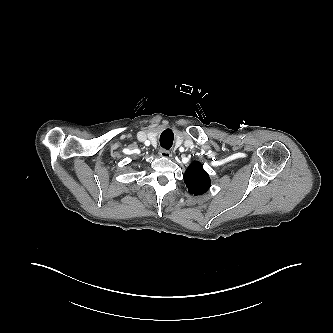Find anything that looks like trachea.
<instances>
[{"mask_svg":"<svg viewBox=\"0 0 333 333\" xmlns=\"http://www.w3.org/2000/svg\"><path fill=\"white\" fill-rule=\"evenodd\" d=\"M174 135L171 131L165 130L161 135V146L169 150L173 144Z\"/></svg>","mask_w":333,"mask_h":333,"instance_id":"obj_1","label":"trachea"}]
</instances>
